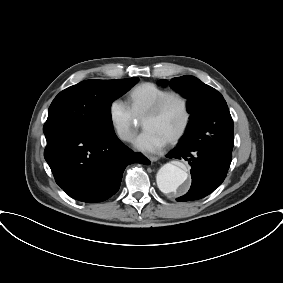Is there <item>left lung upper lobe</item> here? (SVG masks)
<instances>
[{
	"mask_svg": "<svg viewBox=\"0 0 283 283\" xmlns=\"http://www.w3.org/2000/svg\"><path fill=\"white\" fill-rule=\"evenodd\" d=\"M159 84L166 86L168 82L160 80ZM169 84L188 100L187 109L191 116L187 128L198 124L206 145L232 151L233 120L223 96L190 75L173 78Z\"/></svg>",
	"mask_w": 283,
	"mask_h": 283,
	"instance_id": "1",
	"label": "left lung upper lobe"
}]
</instances>
